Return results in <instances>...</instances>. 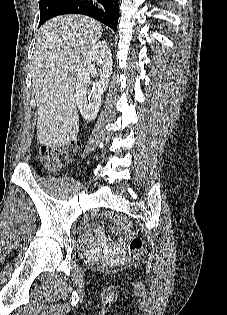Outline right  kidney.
<instances>
[{"mask_svg":"<svg viewBox=\"0 0 227 315\" xmlns=\"http://www.w3.org/2000/svg\"><path fill=\"white\" fill-rule=\"evenodd\" d=\"M101 65L99 79L91 85L90 75L96 73L95 65ZM112 73V54L105 41L96 43L87 53L80 65L75 86L78 109L86 121L96 118L101 107V96L107 90Z\"/></svg>","mask_w":227,"mask_h":315,"instance_id":"right-kidney-1","label":"right kidney"}]
</instances>
